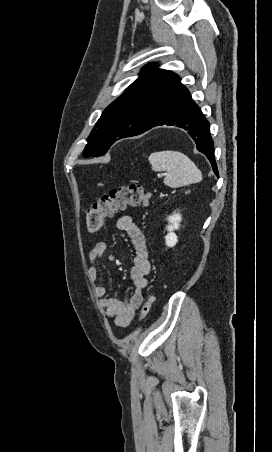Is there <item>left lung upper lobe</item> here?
Listing matches in <instances>:
<instances>
[{
  "label": "left lung upper lobe",
  "mask_w": 272,
  "mask_h": 452,
  "mask_svg": "<svg viewBox=\"0 0 272 452\" xmlns=\"http://www.w3.org/2000/svg\"><path fill=\"white\" fill-rule=\"evenodd\" d=\"M181 86L176 74L158 69L155 63L147 65L139 78L103 111L83 156L99 157L115 141L144 132Z\"/></svg>",
  "instance_id": "obj_1"
}]
</instances>
